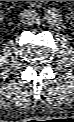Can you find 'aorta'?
I'll return each mask as SVG.
<instances>
[{"instance_id":"762f6f07","label":"aorta","mask_w":74,"mask_h":122,"mask_svg":"<svg viewBox=\"0 0 74 122\" xmlns=\"http://www.w3.org/2000/svg\"><path fill=\"white\" fill-rule=\"evenodd\" d=\"M46 19H47V21H48V23H50V24H54V23H56V19L53 17V16H51L49 13L46 15Z\"/></svg>"}]
</instances>
